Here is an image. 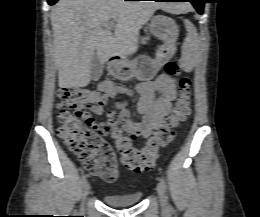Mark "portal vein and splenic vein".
Masks as SVG:
<instances>
[{
    "instance_id": "obj_1",
    "label": "portal vein and splenic vein",
    "mask_w": 260,
    "mask_h": 217,
    "mask_svg": "<svg viewBox=\"0 0 260 217\" xmlns=\"http://www.w3.org/2000/svg\"><path fill=\"white\" fill-rule=\"evenodd\" d=\"M103 27L111 29L114 27V23L113 22H107L103 24Z\"/></svg>"
}]
</instances>
